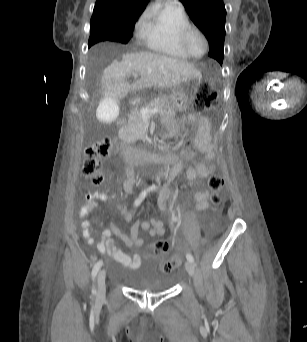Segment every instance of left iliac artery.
Segmentation results:
<instances>
[{"mask_svg": "<svg viewBox=\"0 0 307 342\" xmlns=\"http://www.w3.org/2000/svg\"><path fill=\"white\" fill-rule=\"evenodd\" d=\"M186 258H187L188 261L194 262V258H193V256L190 253L186 254Z\"/></svg>", "mask_w": 307, "mask_h": 342, "instance_id": "44dca946", "label": "left iliac artery"}]
</instances>
